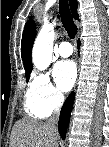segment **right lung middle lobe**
I'll use <instances>...</instances> for the list:
<instances>
[{
  "label": "right lung middle lobe",
  "instance_id": "1",
  "mask_svg": "<svg viewBox=\"0 0 109 147\" xmlns=\"http://www.w3.org/2000/svg\"><path fill=\"white\" fill-rule=\"evenodd\" d=\"M29 77H30V73H27V74H26V79H27V81L29 80Z\"/></svg>",
  "mask_w": 109,
  "mask_h": 147
}]
</instances>
